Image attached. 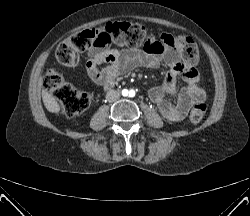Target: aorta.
<instances>
[{
  "label": "aorta",
  "mask_w": 250,
  "mask_h": 216,
  "mask_svg": "<svg viewBox=\"0 0 250 216\" xmlns=\"http://www.w3.org/2000/svg\"><path fill=\"white\" fill-rule=\"evenodd\" d=\"M130 95V92H128L127 90L124 91V95L127 96V95Z\"/></svg>",
  "instance_id": "obj_1"
}]
</instances>
